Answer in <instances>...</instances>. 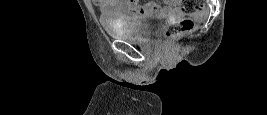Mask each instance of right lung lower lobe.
I'll use <instances>...</instances> for the list:
<instances>
[{
  "mask_svg": "<svg viewBox=\"0 0 267 115\" xmlns=\"http://www.w3.org/2000/svg\"><path fill=\"white\" fill-rule=\"evenodd\" d=\"M138 89H141V90H148V91H154L157 89V87H147V88H138Z\"/></svg>",
  "mask_w": 267,
  "mask_h": 115,
  "instance_id": "obj_1",
  "label": "right lung lower lobe"
}]
</instances>
